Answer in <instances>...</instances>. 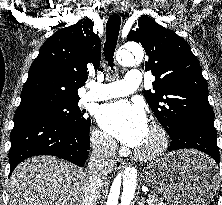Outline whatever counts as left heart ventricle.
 <instances>
[{
    "label": "left heart ventricle",
    "instance_id": "b2bd125f",
    "mask_svg": "<svg viewBox=\"0 0 222 205\" xmlns=\"http://www.w3.org/2000/svg\"><path fill=\"white\" fill-rule=\"evenodd\" d=\"M157 141V137L154 134V132L149 128L144 140L142 141V143L138 146L139 149L142 150H147L152 148Z\"/></svg>",
    "mask_w": 222,
    "mask_h": 205
}]
</instances>
